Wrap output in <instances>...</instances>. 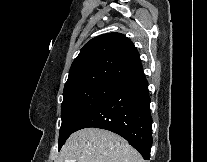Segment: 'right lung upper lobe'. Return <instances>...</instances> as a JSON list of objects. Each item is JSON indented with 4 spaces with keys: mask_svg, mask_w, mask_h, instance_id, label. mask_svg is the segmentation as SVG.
Masks as SVG:
<instances>
[{
    "mask_svg": "<svg viewBox=\"0 0 207 162\" xmlns=\"http://www.w3.org/2000/svg\"><path fill=\"white\" fill-rule=\"evenodd\" d=\"M140 71V56L133 43L120 33L103 34L81 49L70 68L64 92L96 84L117 86Z\"/></svg>",
    "mask_w": 207,
    "mask_h": 162,
    "instance_id": "right-lung-upper-lobe-1",
    "label": "right lung upper lobe"
}]
</instances>
